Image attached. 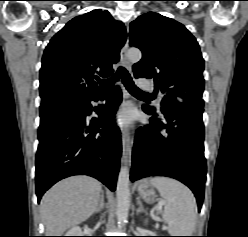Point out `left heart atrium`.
<instances>
[{
    "mask_svg": "<svg viewBox=\"0 0 248 237\" xmlns=\"http://www.w3.org/2000/svg\"><path fill=\"white\" fill-rule=\"evenodd\" d=\"M113 123L122 128L129 126L132 123V114L130 108H121L114 116Z\"/></svg>",
    "mask_w": 248,
    "mask_h": 237,
    "instance_id": "39dd6f15",
    "label": "left heart atrium"
}]
</instances>
